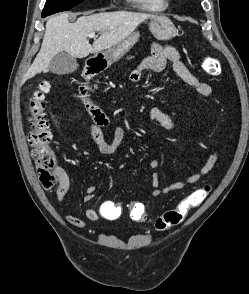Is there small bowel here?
Returning a JSON list of instances; mask_svg holds the SVG:
<instances>
[{
	"instance_id": "c3829d8e",
	"label": "small bowel",
	"mask_w": 249,
	"mask_h": 294,
	"mask_svg": "<svg viewBox=\"0 0 249 294\" xmlns=\"http://www.w3.org/2000/svg\"><path fill=\"white\" fill-rule=\"evenodd\" d=\"M167 61L172 63L174 72L189 86L196 89L201 97H208L212 93L211 87L205 82L201 81L195 76L184 64L178 51L168 45H160L153 43L150 46V55L144 58L138 67L131 73L130 79L133 82H138L144 70H152L160 72L164 70ZM150 119L168 131L177 129V124L159 107H152L149 110ZM110 124L109 118H94V122L88 126V133L93 138L98 151L103 155H111L121 148L125 139L126 132L122 127H116L113 133V138L110 142L104 141L102 137V129L108 127ZM217 160V151L213 150L209 155L206 163L196 173L186 177L185 179L176 181L167 186H160L159 177V161L153 159L150 161L149 167L151 171V195L155 198L162 195L169 194L174 191L183 190L190 185L198 182L205 175H207L214 167ZM62 171V170H61ZM70 190V180L66 173L62 171L61 182L56 190V200L62 203L65 200L67 193ZM97 190L96 185H89L85 190L83 201L85 203L91 202ZM115 208L112 201H102L98 208L89 207L85 210V216L90 221H97L100 218L114 220L111 216V210ZM66 221L77 227L84 228L85 221L72 213H67Z\"/></svg>"
}]
</instances>
